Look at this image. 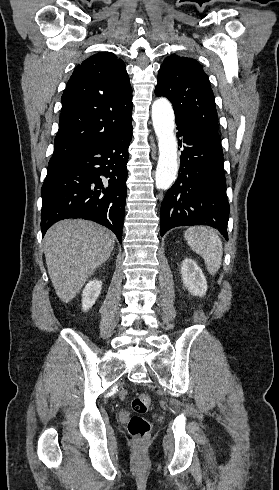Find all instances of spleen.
Instances as JSON below:
<instances>
[{
    "label": "spleen",
    "mask_w": 279,
    "mask_h": 490,
    "mask_svg": "<svg viewBox=\"0 0 279 490\" xmlns=\"http://www.w3.org/2000/svg\"><path fill=\"white\" fill-rule=\"evenodd\" d=\"M185 238L193 252L202 256L209 274H217L222 262L223 246L216 230L194 226L185 232Z\"/></svg>",
    "instance_id": "3e777b00"
}]
</instances>
